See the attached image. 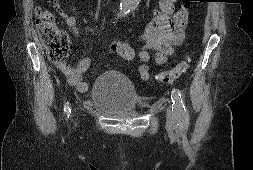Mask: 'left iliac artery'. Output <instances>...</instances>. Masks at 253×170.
<instances>
[{"label": "left iliac artery", "instance_id": "44dca946", "mask_svg": "<svg viewBox=\"0 0 253 170\" xmlns=\"http://www.w3.org/2000/svg\"><path fill=\"white\" fill-rule=\"evenodd\" d=\"M171 99L173 101L172 110L174 111L176 115H178V117H180L182 128H187L189 125V121H188L189 115H188L187 110L185 109L184 101H183L180 91L177 89H174L171 94Z\"/></svg>", "mask_w": 253, "mask_h": 170}]
</instances>
